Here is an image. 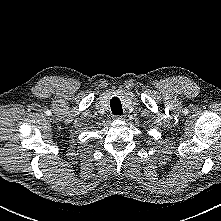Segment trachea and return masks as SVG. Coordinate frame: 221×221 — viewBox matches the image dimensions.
Here are the masks:
<instances>
[{
  "mask_svg": "<svg viewBox=\"0 0 221 221\" xmlns=\"http://www.w3.org/2000/svg\"><path fill=\"white\" fill-rule=\"evenodd\" d=\"M111 111L115 115H121L123 113L122 104L119 98L113 97L110 100Z\"/></svg>",
  "mask_w": 221,
  "mask_h": 221,
  "instance_id": "obj_1",
  "label": "trachea"
}]
</instances>
